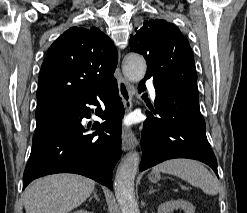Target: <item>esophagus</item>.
I'll list each match as a JSON object with an SVG mask.
<instances>
[{
  "label": "esophagus",
  "mask_w": 247,
  "mask_h": 213,
  "mask_svg": "<svg viewBox=\"0 0 247 213\" xmlns=\"http://www.w3.org/2000/svg\"><path fill=\"white\" fill-rule=\"evenodd\" d=\"M120 58V53H119ZM119 94L127 111L132 108L133 86L122 76L118 80ZM137 145V138L132 131H125L122 135V150L128 151Z\"/></svg>",
  "instance_id": "1"
}]
</instances>
